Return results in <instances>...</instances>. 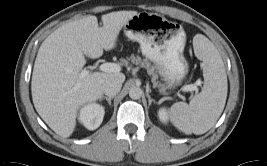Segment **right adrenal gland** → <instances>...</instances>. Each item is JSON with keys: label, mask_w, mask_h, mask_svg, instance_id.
Masks as SVG:
<instances>
[{"label": "right adrenal gland", "mask_w": 267, "mask_h": 166, "mask_svg": "<svg viewBox=\"0 0 267 166\" xmlns=\"http://www.w3.org/2000/svg\"><path fill=\"white\" fill-rule=\"evenodd\" d=\"M114 98V96H110V97H103V99H105L108 104L111 106V100Z\"/></svg>", "instance_id": "2a0ac1e0"}]
</instances>
